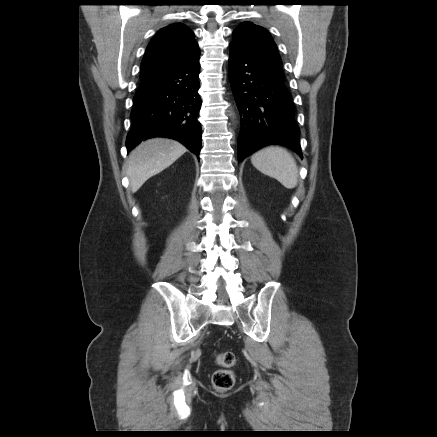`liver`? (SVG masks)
Returning <instances> with one entry per match:
<instances>
[{"mask_svg":"<svg viewBox=\"0 0 437 437\" xmlns=\"http://www.w3.org/2000/svg\"><path fill=\"white\" fill-rule=\"evenodd\" d=\"M186 152L179 142L168 138H152L134 148L126 163V174L135 193L149 178L172 165Z\"/></svg>","mask_w":437,"mask_h":437,"instance_id":"obj_1","label":"liver"}]
</instances>
